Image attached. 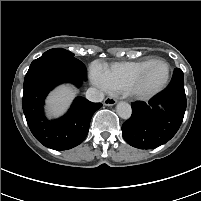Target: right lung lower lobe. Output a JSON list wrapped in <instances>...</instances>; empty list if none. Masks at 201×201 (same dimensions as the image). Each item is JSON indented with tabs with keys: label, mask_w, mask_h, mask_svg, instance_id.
<instances>
[{
	"label": "right lung lower lobe",
	"mask_w": 201,
	"mask_h": 201,
	"mask_svg": "<svg viewBox=\"0 0 201 201\" xmlns=\"http://www.w3.org/2000/svg\"><path fill=\"white\" fill-rule=\"evenodd\" d=\"M86 79L78 60L62 54L42 55L31 63L24 79L22 107L32 134L44 146L67 150L86 138L92 115L101 103L77 97L62 118L52 121L43 110L47 94L57 85L70 82L79 87Z\"/></svg>",
	"instance_id": "obj_1"
}]
</instances>
